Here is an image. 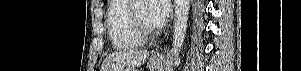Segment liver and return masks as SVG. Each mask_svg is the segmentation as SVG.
I'll list each match as a JSON object with an SVG mask.
<instances>
[{
    "instance_id": "obj_1",
    "label": "liver",
    "mask_w": 301,
    "mask_h": 71,
    "mask_svg": "<svg viewBox=\"0 0 301 71\" xmlns=\"http://www.w3.org/2000/svg\"><path fill=\"white\" fill-rule=\"evenodd\" d=\"M149 56L147 50H127L110 54L103 62L101 71H123L144 64Z\"/></svg>"
}]
</instances>
